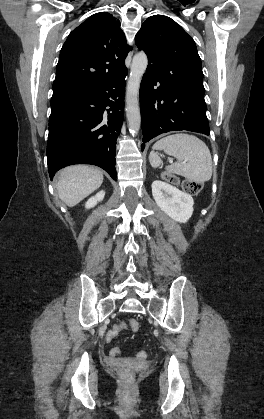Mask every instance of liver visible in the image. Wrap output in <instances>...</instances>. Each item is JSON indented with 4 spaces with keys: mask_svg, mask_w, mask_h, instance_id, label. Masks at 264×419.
<instances>
[{
    "mask_svg": "<svg viewBox=\"0 0 264 419\" xmlns=\"http://www.w3.org/2000/svg\"><path fill=\"white\" fill-rule=\"evenodd\" d=\"M103 182V173L87 165H74L60 171L56 184L59 198L73 207L97 190Z\"/></svg>",
    "mask_w": 264,
    "mask_h": 419,
    "instance_id": "liver-1",
    "label": "liver"
}]
</instances>
